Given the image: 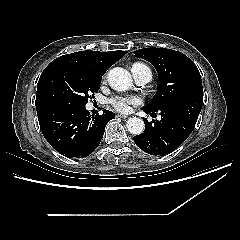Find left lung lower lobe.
<instances>
[{"instance_id": "0a47b994", "label": "left lung lower lobe", "mask_w": 240, "mask_h": 240, "mask_svg": "<svg viewBox=\"0 0 240 240\" xmlns=\"http://www.w3.org/2000/svg\"><path fill=\"white\" fill-rule=\"evenodd\" d=\"M203 95H192L171 102L159 110L161 120L144 119V133L135 136V144L151 155H165L182 144L193 131L202 108ZM143 111L153 113L143 107ZM157 112V111H156Z\"/></svg>"}]
</instances>
